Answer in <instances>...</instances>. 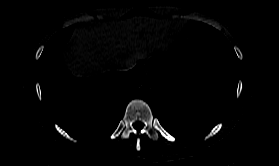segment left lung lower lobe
<instances>
[{
  "mask_svg": "<svg viewBox=\"0 0 279 166\" xmlns=\"http://www.w3.org/2000/svg\"><path fill=\"white\" fill-rule=\"evenodd\" d=\"M200 62L182 63L168 56L149 61L152 103L162 127L178 138L200 136L229 111L239 81V60L217 29L198 22L195 37Z\"/></svg>",
  "mask_w": 279,
  "mask_h": 166,
  "instance_id": "obj_1",
  "label": "left lung lower lobe"
}]
</instances>
